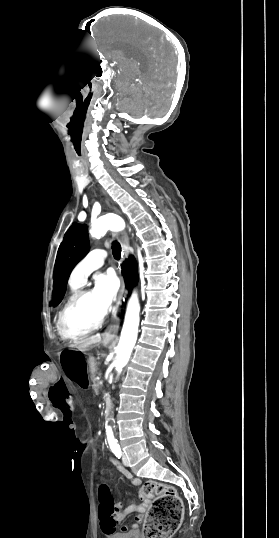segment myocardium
Masks as SVG:
<instances>
[{
  "instance_id": "obj_1",
  "label": "myocardium",
  "mask_w": 279,
  "mask_h": 538,
  "mask_svg": "<svg viewBox=\"0 0 279 538\" xmlns=\"http://www.w3.org/2000/svg\"><path fill=\"white\" fill-rule=\"evenodd\" d=\"M104 231H105V228H102L101 232L97 234L96 236H101L104 233ZM91 292H93V290L91 289H80L61 311L59 319H58V332L64 339L70 340V341L80 340L84 337L91 335L97 330H99L101 325L103 324V321L106 317V313H104L92 327L82 332L74 333V332H71L67 327V317H68L69 312L75 306L81 303Z\"/></svg>"
}]
</instances>
